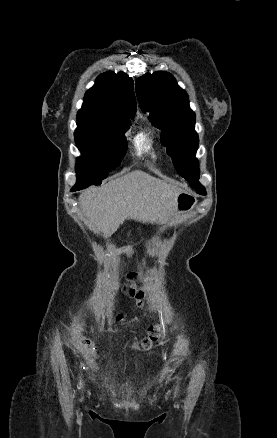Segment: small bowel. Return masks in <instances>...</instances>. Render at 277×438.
I'll return each mask as SVG.
<instances>
[{"label":"small bowel","instance_id":"obj_1","mask_svg":"<svg viewBox=\"0 0 277 438\" xmlns=\"http://www.w3.org/2000/svg\"><path fill=\"white\" fill-rule=\"evenodd\" d=\"M80 345L81 346H89L90 345V340L89 339H81L80 340ZM100 353H104V350H100L99 348H91L90 349V354L91 355H99ZM102 360H105V357H102Z\"/></svg>","mask_w":277,"mask_h":438}]
</instances>
